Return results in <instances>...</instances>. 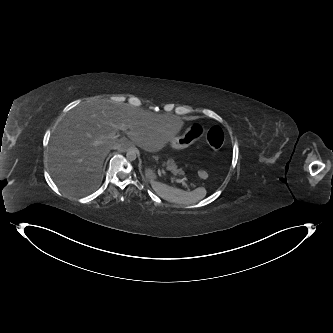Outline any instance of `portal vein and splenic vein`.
Segmentation results:
<instances>
[{
    "instance_id": "18ae733b",
    "label": "portal vein and splenic vein",
    "mask_w": 333,
    "mask_h": 333,
    "mask_svg": "<svg viewBox=\"0 0 333 333\" xmlns=\"http://www.w3.org/2000/svg\"><path fill=\"white\" fill-rule=\"evenodd\" d=\"M119 131H121L122 133L126 132L127 131V127L125 125H121L118 127ZM121 133H117V134H112V135H109L108 137L109 138H113V139H116L118 137H120Z\"/></svg>"
}]
</instances>
